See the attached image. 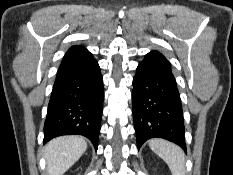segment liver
I'll list each match as a JSON object with an SVG mask.
<instances>
[{"label": "liver", "mask_w": 233, "mask_h": 175, "mask_svg": "<svg viewBox=\"0 0 233 175\" xmlns=\"http://www.w3.org/2000/svg\"><path fill=\"white\" fill-rule=\"evenodd\" d=\"M86 149V140L81 136H61L48 142L44 150L48 175H63Z\"/></svg>", "instance_id": "liver-1"}]
</instances>
